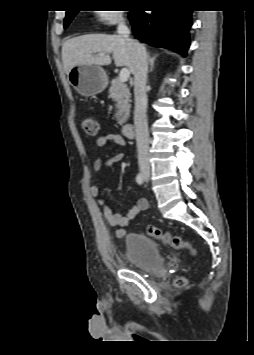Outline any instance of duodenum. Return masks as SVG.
Returning <instances> with one entry per match:
<instances>
[{"instance_id": "obj_1", "label": "duodenum", "mask_w": 254, "mask_h": 355, "mask_svg": "<svg viewBox=\"0 0 254 355\" xmlns=\"http://www.w3.org/2000/svg\"><path fill=\"white\" fill-rule=\"evenodd\" d=\"M134 125L131 123H127L123 126V134L126 138H133L134 137Z\"/></svg>"}]
</instances>
